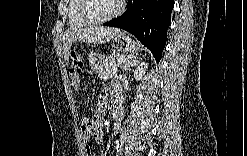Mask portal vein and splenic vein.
<instances>
[{
	"instance_id": "portal-vein-and-splenic-vein-1",
	"label": "portal vein and splenic vein",
	"mask_w": 247,
	"mask_h": 156,
	"mask_svg": "<svg viewBox=\"0 0 247 156\" xmlns=\"http://www.w3.org/2000/svg\"><path fill=\"white\" fill-rule=\"evenodd\" d=\"M125 61H126L125 58H119V59H117V62H118V63H124Z\"/></svg>"
}]
</instances>
